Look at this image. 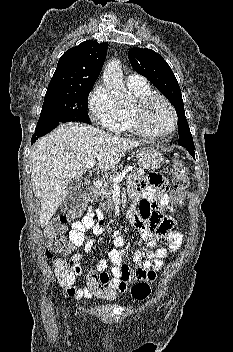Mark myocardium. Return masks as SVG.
I'll return each mask as SVG.
<instances>
[{
	"instance_id": "myocardium-1",
	"label": "myocardium",
	"mask_w": 233,
	"mask_h": 352,
	"mask_svg": "<svg viewBox=\"0 0 233 352\" xmlns=\"http://www.w3.org/2000/svg\"><path fill=\"white\" fill-rule=\"evenodd\" d=\"M156 101L163 102L168 107V109L172 114V119H173L172 127L168 131L163 133L152 132L148 128L146 123L147 111L149 107ZM132 113H133V119H134L136 129L141 135L147 138H151V139L165 138L168 135L172 134L176 130L178 125V116L174 106L171 104V102L168 99H166L161 95L151 94L149 96H146L138 100L136 104L132 107Z\"/></svg>"
}]
</instances>
